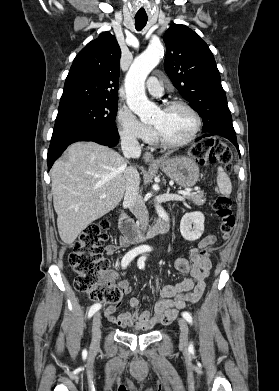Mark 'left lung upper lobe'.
I'll list each match as a JSON object with an SVG mask.
<instances>
[{
  "instance_id": "1",
  "label": "left lung upper lobe",
  "mask_w": 279,
  "mask_h": 391,
  "mask_svg": "<svg viewBox=\"0 0 279 391\" xmlns=\"http://www.w3.org/2000/svg\"><path fill=\"white\" fill-rule=\"evenodd\" d=\"M164 69L180 95L199 113L203 132L235 134L214 56L197 33L172 24L165 32Z\"/></svg>"
}]
</instances>
